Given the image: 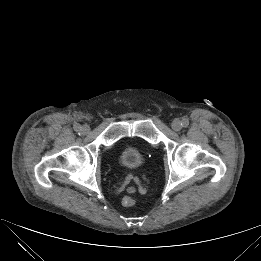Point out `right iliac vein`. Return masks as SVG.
Masks as SVG:
<instances>
[{"label": "right iliac vein", "mask_w": 261, "mask_h": 261, "mask_svg": "<svg viewBox=\"0 0 261 261\" xmlns=\"http://www.w3.org/2000/svg\"><path fill=\"white\" fill-rule=\"evenodd\" d=\"M90 131V127L88 126V125H83L82 127H81V132L83 133V134H87L88 132Z\"/></svg>", "instance_id": "obj_1"}]
</instances>
